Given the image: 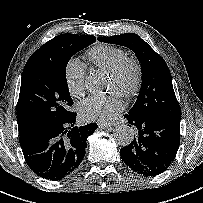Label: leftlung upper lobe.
<instances>
[{
	"label": "left lung upper lobe",
	"instance_id": "1",
	"mask_svg": "<svg viewBox=\"0 0 203 203\" xmlns=\"http://www.w3.org/2000/svg\"><path fill=\"white\" fill-rule=\"evenodd\" d=\"M98 40L131 49L141 64L142 84L129 115L150 118L181 116L170 70L165 60L149 44L137 34L131 33L100 37Z\"/></svg>",
	"mask_w": 203,
	"mask_h": 203
}]
</instances>
